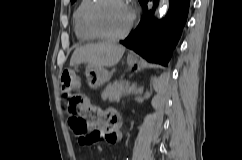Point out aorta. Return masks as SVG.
I'll return each instance as SVG.
<instances>
[{
	"label": "aorta",
	"mask_w": 242,
	"mask_h": 160,
	"mask_svg": "<svg viewBox=\"0 0 242 160\" xmlns=\"http://www.w3.org/2000/svg\"><path fill=\"white\" fill-rule=\"evenodd\" d=\"M167 8V0H159L158 12L160 15L164 13Z\"/></svg>",
	"instance_id": "obj_1"
}]
</instances>
